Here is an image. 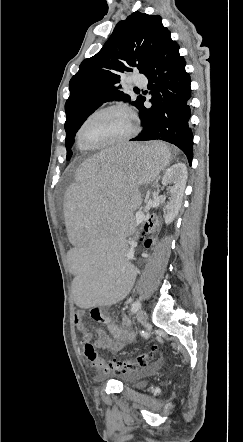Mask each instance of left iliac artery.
<instances>
[{"label":"left iliac artery","instance_id":"44dca946","mask_svg":"<svg viewBox=\"0 0 243 442\" xmlns=\"http://www.w3.org/2000/svg\"><path fill=\"white\" fill-rule=\"evenodd\" d=\"M141 308V302L139 300H136L131 305V311L133 313L137 312Z\"/></svg>","mask_w":243,"mask_h":442}]
</instances>
